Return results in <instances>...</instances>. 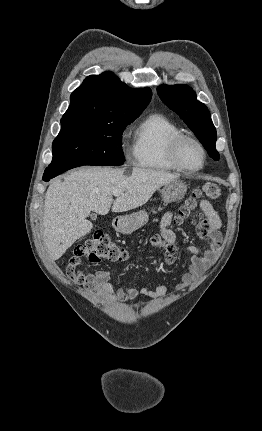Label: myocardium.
I'll list each match as a JSON object with an SVG mask.
<instances>
[{"mask_svg":"<svg viewBox=\"0 0 262 431\" xmlns=\"http://www.w3.org/2000/svg\"><path fill=\"white\" fill-rule=\"evenodd\" d=\"M187 143L193 144L200 151L202 155V163L197 168H188L182 162L181 151L184 145H186ZM206 158H207V153L204 146L197 139L193 137L182 135V136L176 137L171 142L170 159L179 170L183 171L186 174L192 175L202 170L206 163Z\"/></svg>","mask_w":262,"mask_h":431,"instance_id":"f54148a6","label":"myocardium"}]
</instances>
